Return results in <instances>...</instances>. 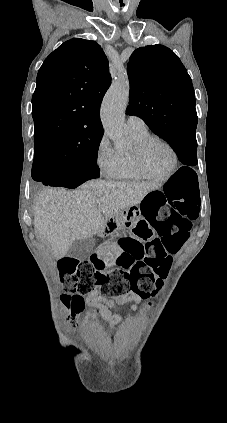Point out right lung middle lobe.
Listing matches in <instances>:
<instances>
[{"mask_svg":"<svg viewBox=\"0 0 227 423\" xmlns=\"http://www.w3.org/2000/svg\"><path fill=\"white\" fill-rule=\"evenodd\" d=\"M101 139L102 134H96L61 145L35 148L33 163L50 159L60 164L63 170L84 178H98L100 170L96 162Z\"/></svg>","mask_w":227,"mask_h":423,"instance_id":"right-lung-middle-lobe-1","label":"right lung middle lobe"}]
</instances>
